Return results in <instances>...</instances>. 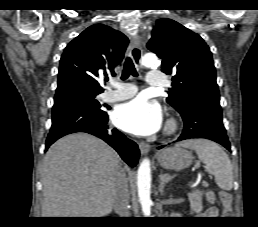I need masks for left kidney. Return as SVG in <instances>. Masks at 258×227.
Returning a JSON list of instances; mask_svg holds the SVG:
<instances>
[{
	"instance_id": "1",
	"label": "left kidney",
	"mask_w": 258,
	"mask_h": 227,
	"mask_svg": "<svg viewBox=\"0 0 258 227\" xmlns=\"http://www.w3.org/2000/svg\"><path fill=\"white\" fill-rule=\"evenodd\" d=\"M191 211L193 213H200L203 209L202 206V192L195 190L189 194Z\"/></svg>"
}]
</instances>
